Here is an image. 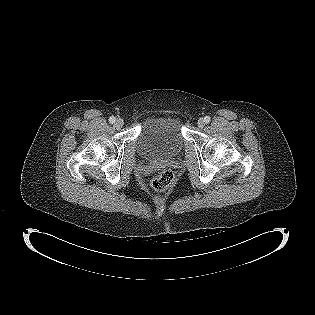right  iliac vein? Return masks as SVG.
Wrapping results in <instances>:
<instances>
[{
	"label": "right iliac vein",
	"mask_w": 315,
	"mask_h": 315,
	"mask_svg": "<svg viewBox=\"0 0 315 315\" xmlns=\"http://www.w3.org/2000/svg\"><path fill=\"white\" fill-rule=\"evenodd\" d=\"M123 124H124L123 119L118 118V119L116 120V122H115V127L118 128V129H120V128L123 126Z\"/></svg>",
	"instance_id": "right-iliac-vein-1"
}]
</instances>
